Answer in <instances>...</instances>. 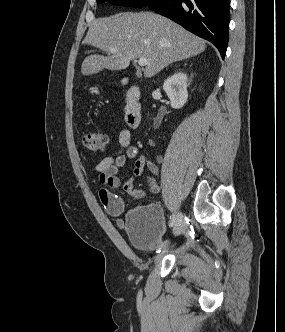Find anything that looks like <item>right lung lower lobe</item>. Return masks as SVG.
I'll return each instance as SVG.
<instances>
[{"label":"right lung lower lobe","mask_w":285,"mask_h":332,"mask_svg":"<svg viewBox=\"0 0 285 332\" xmlns=\"http://www.w3.org/2000/svg\"><path fill=\"white\" fill-rule=\"evenodd\" d=\"M147 6L209 40L225 57L230 0H153Z\"/></svg>","instance_id":"98d812e1"}]
</instances>
